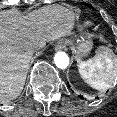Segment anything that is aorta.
<instances>
[{
    "label": "aorta",
    "mask_w": 117,
    "mask_h": 117,
    "mask_svg": "<svg viewBox=\"0 0 117 117\" xmlns=\"http://www.w3.org/2000/svg\"><path fill=\"white\" fill-rule=\"evenodd\" d=\"M54 63L58 68L65 69L69 65V57L65 52H58L54 56Z\"/></svg>",
    "instance_id": "1"
}]
</instances>
